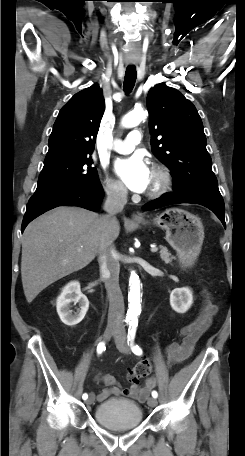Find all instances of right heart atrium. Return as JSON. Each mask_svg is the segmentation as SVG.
I'll return each mask as SVG.
<instances>
[{
  "instance_id": "right-heart-atrium-1",
  "label": "right heart atrium",
  "mask_w": 245,
  "mask_h": 456,
  "mask_svg": "<svg viewBox=\"0 0 245 456\" xmlns=\"http://www.w3.org/2000/svg\"><path fill=\"white\" fill-rule=\"evenodd\" d=\"M104 189L106 194L115 200H123L126 196V190L124 186L116 180L106 178L104 181Z\"/></svg>"
}]
</instances>
